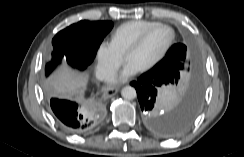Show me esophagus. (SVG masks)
Segmentation results:
<instances>
[{
    "label": "esophagus",
    "mask_w": 244,
    "mask_h": 157,
    "mask_svg": "<svg viewBox=\"0 0 244 157\" xmlns=\"http://www.w3.org/2000/svg\"><path fill=\"white\" fill-rule=\"evenodd\" d=\"M118 91H119V89H109V90H107V91L105 92L104 95H105L107 98H111V97H113L114 95H116Z\"/></svg>",
    "instance_id": "1"
}]
</instances>
